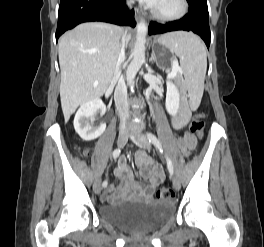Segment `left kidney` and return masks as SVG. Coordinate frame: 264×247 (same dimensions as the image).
I'll return each mask as SVG.
<instances>
[{
  "instance_id": "left-kidney-1",
  "label": "left kidney",
  "mask_w": 264,
  "mask_h": 247,
  "mask_svg": "<svg viewBox=\"0 0 264 247\" xmlns=\"http://www.w3.org/2000/svg\"><path fill=\"white\" fill-rule=\"evenodd\" d=\"M166 110L167 112L175 116L178 113L180 107V93L177 86L170 81L167 80V94H166Z\"/></svg>"
}]
</instances>
